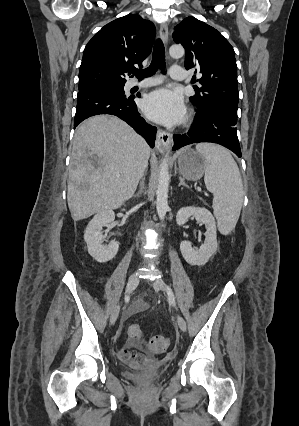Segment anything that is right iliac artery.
<instances>
[{"instance_id": "1", "label": "right iliac artery", "mask_w": 299, "mask_h": 426, "mask_svg": "<svg viewBox=\"0 0 299 426\" xmlns=\"http://www.w3.org/2000/svg\"><path fill=\"white\" fill-rule=\"evenodd\" d=\"M129 298V296H127L125 299H128Z\"/></svg>"}]
</instances>
